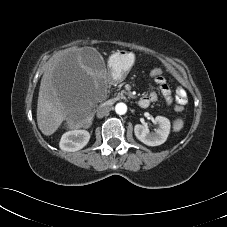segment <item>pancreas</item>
<instances>
[{
    "instance_id": "1",
    "label": "pancreas",
    "mask_w": 227,
    "mask_h": 227,
    "mask_svg": "<svg viewBox=\"0 0 227 227\" xmlns=\"http://www.w3.org/2000/svg\"><path fill=\"white\" fill-rule=\"evenodd\" d=\"M125 95H126L125 91H121V92L117 93L116 97L114 98V101L120 100V99H126Z\"/></svg>"
}]
</instances>
